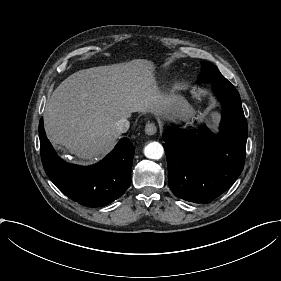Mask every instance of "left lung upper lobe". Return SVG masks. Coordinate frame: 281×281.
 <instances>
[{"label": "left lung upper lobe", "mask_w": 281, "mask_h": 281, "mask_svg": "<svg viewBox=\"0 0 281 281\" xmlns=\"http://www.w3.org/2000/svg\"><path fill=\"white\" fill-rule=\"evenodd\" d=\"M202 71L198 77V82H212L220 84H228L229 81L222 76L218 68L210 62H201Z\"/></svg>", "instance_id": "obj_1"}]
</instances>
